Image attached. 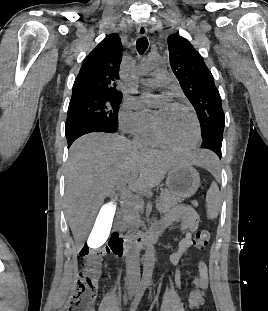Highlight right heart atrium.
<instances>
[{"label": "right heart atrium", "instance_id": "d8ad5b80", "mask_svg": "<svg viewBox=\"0 0 268 311\" xmlns=\"http://www.w3.org/2000/svg\"><path fill=\"white\" fill-rule=\"evenodd\" d=\"M152 126L150 113L133 99L125 101L119 113L120 129L130 135H138Z\"/></svg>", "mask_w": 268, "mask_h": 311}]
</instances>
